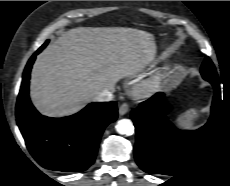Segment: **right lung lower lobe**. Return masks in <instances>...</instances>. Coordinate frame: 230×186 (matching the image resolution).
Listing matches in <instances>:
<instances>
[{
    "instance_id": "obj_1",
    "label": "right lung lower lobe",
    "mask_w": 230,
    "mask_h": 186,
    "mask_svg": "<svg viewBox=\"0 0 230 186\" xmlns=\"http://www.w3.org/2000/svg\"><path fill=\"white\" fill-rule=\"evenodd\" d=\"M36 51L23 72L16 117L26 146L44 168L80 172L93 164L105 127L117 118L116 102H95L72 116L50 118L41 115L29 99L30 71Z\"/></svg>"
}]
</instances>
